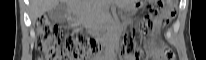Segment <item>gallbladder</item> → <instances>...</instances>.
<instances>
[{
  "label": "gallbladder",
  "instance_id": "bac80fb5",
  "mask_svg": "<svg viewBox=\"0 0 206 60\" xmlns=\"http://www.w3.org/2000/svg\"><path fill=\"white\" fill-rule=\"evenodd\" d=\"M50 19L55 23H64L67 15V7L65 2L59 3L56 7L49 12Z\"/></svg>",
  "mask_w": 206,
  "mask_h": 60
}]
</instances>
